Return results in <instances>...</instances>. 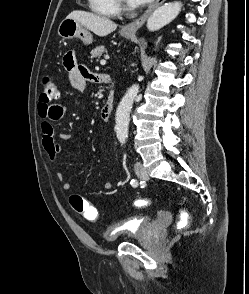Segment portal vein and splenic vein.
Returning <instances> with one entry per match:
<instances>
[{"mask_svg": "<svg viewBox=\"0 0 249 294\" xmlns=\"http://www.w3.org/2000/svg\"><path fill=\"white\" fill-rule=\"evenodd\" d=\"M100 64H101V65H105V64H106V61H105V60H101V61H100Z\"/></svg>", "mask_w": 249, "mask_h": 294, "instance_id": "portal-vein-and-splenic-vein-1", "label": "portal vein and splenic vein"}]
</instances>
